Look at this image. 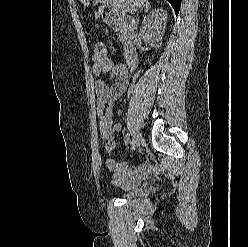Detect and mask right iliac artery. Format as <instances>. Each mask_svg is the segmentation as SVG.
Segmentation results:
<instances>
[{
    "label": "right iliac artery",
    "mask_w": 248,
    "mask_h": 247,
    "mask_svg": "<svg viewBox=\"0 0 248 247\" xmlns=\"http://www.w3.org/2000/svg\"><path fill=\"white\" fill-rule=\"evenodd\" d=\"M129 143H131L130 133H127L126 136H125V144L127 145ZM132 144H133V142H132Z\"/></svg>",
    "instance_id": "1"
}]
</instances>
